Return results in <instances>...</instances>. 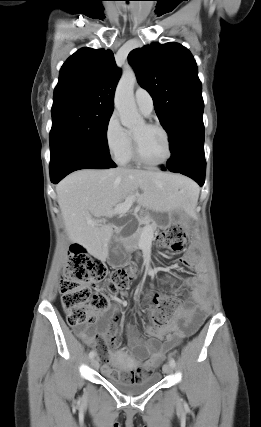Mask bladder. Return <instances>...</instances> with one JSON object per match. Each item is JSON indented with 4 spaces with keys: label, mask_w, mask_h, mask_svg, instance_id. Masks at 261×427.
Returning <instances> with one entry per match:
<instances>
[{
    "label": "bladder",
    "mask_w": 261,
    "mask_h": 427,
    "mask_svg": "<svg viewBox=\"0 0 261 427\" xmlns=\"http://www.w3.org/2000/svg\"><path fill=\"white\" fill-rule=\"evenodd\" d=\"M111 373H106V380L115 388L126 394L142 393L160 380L159 372H152L144 377L133 375L130 368L122 360H114L109 365Z\"/></svg>",
    "instance_id": "31cf9c89"
}]
</instances>
